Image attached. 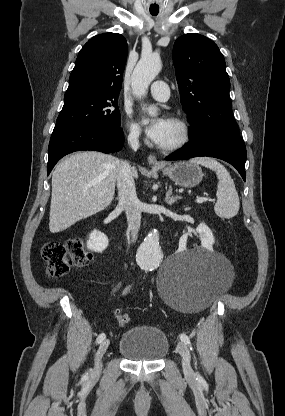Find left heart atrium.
I'll return each instance as SVG.
<instances>
[{"mask_svg":"<svg viewBox=\"0 0 285 416\" xmlns=\"http://www.w3.org/2000/svg\"><path fill=\"white\" fill-rule=\"evenodd\" d=\"M170 123L171 121L164 116L149 120L146 125L147 136L155 144L162 145L169 133Z\"/></svg>","mask_w":285,"mask_h":416,"instance_id":"left-heart-atrium-1","label":"left heart atrium"}]
</instances>
